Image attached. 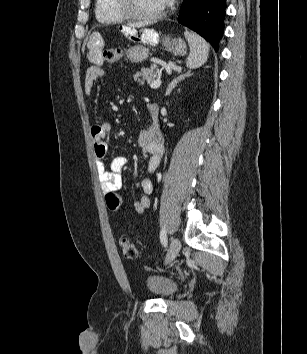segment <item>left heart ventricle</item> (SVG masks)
I'll list each match as a JSON object with an SVG mask.
<instances>
[{
  "label": "left heart ventricle",
  "mask_w": 307,
  "mask_h": 354,
  "mask_svg": "<svg viewBox=\"0 0 307 354\" xmlns=\"http://www.w3.org/2000/svg\"><path fill=\"white\" fill-rule=\"evenodd\" d=\"M132 8L141 14H153L164 7L163 0H131Z\"/></svg>",
  "instance_id": "1"
}]
</instances>
